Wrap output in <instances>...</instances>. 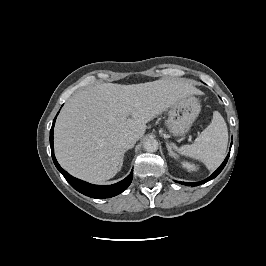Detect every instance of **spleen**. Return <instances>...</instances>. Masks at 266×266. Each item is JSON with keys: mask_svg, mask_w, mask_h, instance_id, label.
<instances>
[{"mask_svg": "<svg viewBox=\"0 0 266 266\" xmlns=\"http://www.w3.org/2000/svg\"><path fill=\"white\" fill-rule=\"evenodd\" d=\"M227 143V125L221 114L215 111L211 123L195 139V142L176 150L181 155L201 161L209 170H214L225 158Z\"/></svg>", "mask_w": 266, "mask_h": 266, "instance_id": "obj_1", "label": "spleen"}]
</instances>
